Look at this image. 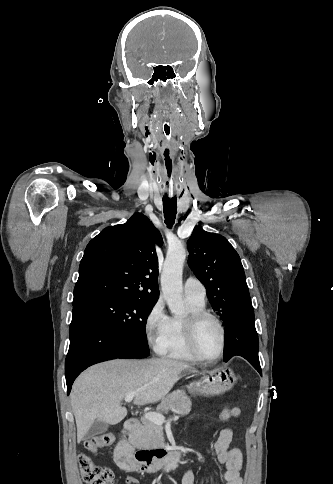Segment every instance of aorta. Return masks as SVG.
Here are the masks:
<instances>
[{
    "label": "aorta",
    "mask_w": 333,
    "mask_h": 484,
    "mask_svg": "<svg viewBox=\"0 0 333 484\" xmlns=\"http://www.w3.org/2000/svg\"><path fill=\"white\" fill-rule=\"evenodd\" d=\"M186 251L182 244L169 248L161 274V289L170 311L173 314L183 312L182 273Z\"/></svg>",
    "instance_id": "762f6f07"
}]
</instances>
